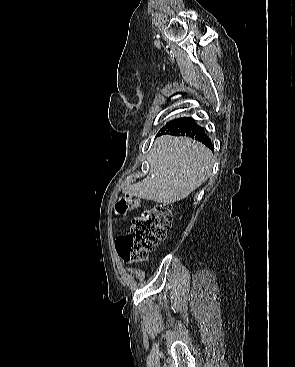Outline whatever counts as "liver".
Returning a JSON list of instances; mask_svg holds the SVG:
<instances>
[{
  "instance_id": "6515ba94",
  "label": "liver",
  "mask_w": 295,
  "mask_h": 367,
  "mask_svg": "<svg viewBox=\"0 0 295 367\" xmlns=\"http://www.w3.org/2000/svg\"><path fill=\"white\" fill-rule=\"evenodd\" d=\"M148 163L147 177L126 191L169 205L186 198L211 176L213 154L191 138L165 135L155 140Z\"/></svg>"
}]
</instances>
